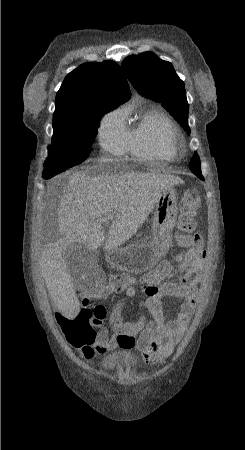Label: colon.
I'll return each mask as SVG.
<instances>
[{"label": "colon", "mask_w": 245, "mask_h": 450, "mask_svg": "<svg viewBox=\"0 0 245 450\" xmlns=\"http://www.w3.org/2000/svg\"><path fill=\"white\" fill-rule=\"evenodd\" d=\"M200 207V194L196 188L187 189L180 200L179 244L185 249L203 250L204 240L200 234L194 233V217ZM134 280L127 272H118L108 278L111 289L122 290ZM106 310L94 300L84 298L80 310L74 316L62 321L64 335L75 344L91 343L97 336V328L103 323ZM123 344L130 346L134 336L122 335Z\"/></svg>", "instance_id": "5ec220e1"}]
</instances>
